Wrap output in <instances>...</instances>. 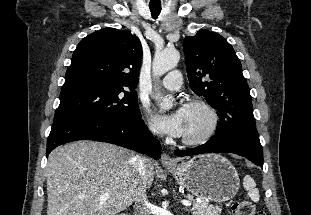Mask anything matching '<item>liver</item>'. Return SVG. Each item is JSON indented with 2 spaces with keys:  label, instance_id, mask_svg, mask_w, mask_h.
<instances>
[{
  "label": "liver",
  "instance_id": "6515ba94",
  "mask_svg": "<svg viewBox=\"0 0 311 215\" xmlns=\"http://www.w3.org/2000/svg\"><path fill=\"white\" fill-rule=\"evenodd\" d=\"M133 154L118 146L77 141L53 150L46 166L47 215H115L139 201L154 180L146 159L144 175ZM104 193L107 200H100Z\"/></svg>",
  "mask_w": 311,
  "mask_h": 215
}]
</instances>
